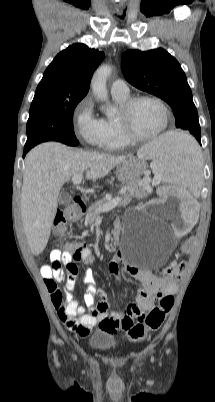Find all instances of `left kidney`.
I'll use <instances>...</instances> for the list:
<instances>
[{
    "label": "left kidney",
    "instance_id": "obj_1",
    "mask_svg": "<svg viewBox=\"0 0 215 402\" xmlns=\"http://www.w3.org/2000/svg\"><path fill=\"white\" fill-rule=\"evenodd\" d=\"M178 190L176 184L159 185L160 198L164 205H168V214L174 219L171 227L177 232L175 237L184 240L193 231L195 222L199 221L200 203L189 196V193Z\"/></svg>",
    "mask_w": 215,
    "mask_h": 402
}]
</instances>
